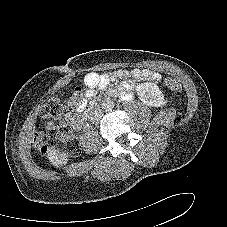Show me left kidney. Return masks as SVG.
Segmentation results:
<instances>
[{
  "instance_id": "left-kidney-1",
  "label": "left kidney",
  "mask_w": 227,
  "mask_h": 227,
  "mask_svg": "<svg viewBox=\"0 0 227 227\" xmlns=\"http://www.w3.org/2000/svg\"><path fill=\"white\" fill-rule=\"evenodd\" d=\"M136 91L139 99L150 107H160L167 103L162 91L155 83H141L137 85Z\"/></svg>"
}]
</instances>
